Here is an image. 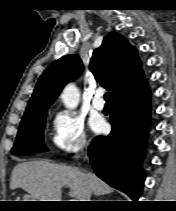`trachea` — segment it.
<instances>
[{
	"instance_id": "3493384b",
	"label": "trachea",
	"mask_w": 176,
	"mask_h": 211,
	"mask_svg": "<svg viewBox=\"0 0 176 211\" xmlns=\"http://www.w3.org/2000/svg\"><path fill=\"white\" fill-rule=\"evenodd\" d=\"M104 99L106 100V102H111L112 101L111 93L110 92L105 93Z\"/></svg>"
}]
</instances>
